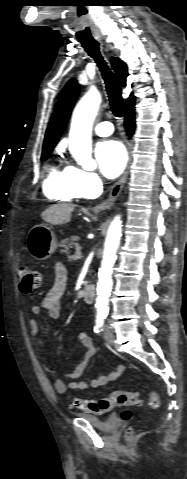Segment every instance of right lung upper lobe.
Segmentation results:
<instances>
[{
	"label": "right lung upper lobe",
	"mask_w": 187,
	"mask_h": 479,
	"mask_svg": "<svg viewBox=\"0 0 187 479\" xmlns=\"http://www.w3.org/2000/svg\"><path fill=\"white\" fill-rule=\"evenodd\" d=\"M112 67L116 72L121 85L125 87L126 80L129 75L126 64L120 59L114 58L112 60ZM78 94L79 86L77 84V81L72 79L67 83L64 95L47 128L43 144V152L53 150L58 138L62 133V130L66 125L67 120L69 119L71 110L78 97ZM134 98L135 97L133 96V94H131L129 99L126 101V109L134 106Z\"/></svg>",
	"instance_id": "cb5924a9"
}]
</instances>
